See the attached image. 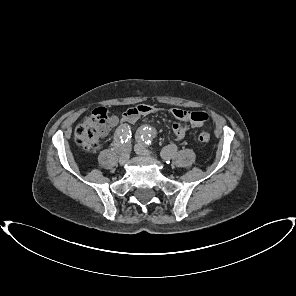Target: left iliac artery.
<instances>
[{
  "instance_id": "obj_1",
  "label": "left iliac artery",
  "mask_w": 296,
  "mask_h": 296,
  "mask_svg": "<svg viewBox=\"0 0 296 296\" xmlns=\"http://www.w3.org/2000/svg\"><path fill=\"white\" fill-rule=\"evenodd\" d=\"M152 138L153 132L151 131V128L148 129V127L141 128L136 134L137 141H143L147 145H151Z\"/></svg>"
}]
</instances>
